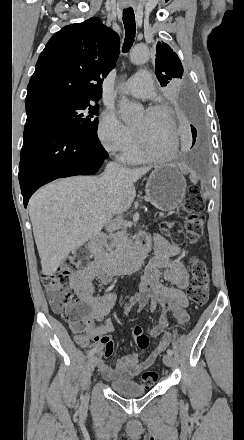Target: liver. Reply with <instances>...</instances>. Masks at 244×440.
<instances>
[{
  "instance_id": "6515ba94",
  "label": "liver",
  "mask_w": 244,
  "mask_h": 440,
  "mask_svg": "<svg viewBox=\"0 0 244 440\" xmlns=\"http://www.w3.org/2000/svg\"><path fill=\"white\" fill-rule=\"evenodd\" d=\"M149 170L119 172L112 182H102V176L61 178L35 192L28 210L42 274H55L71 250L101 232L106 218L127 212L136 196L135 182ZM75 218L80 226H74Z\"/></svg>"
}]
</instances>
